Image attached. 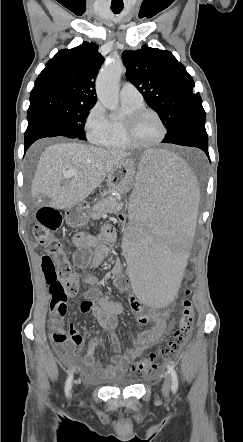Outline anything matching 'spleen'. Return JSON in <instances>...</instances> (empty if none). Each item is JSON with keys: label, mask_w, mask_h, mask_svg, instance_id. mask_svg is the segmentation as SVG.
Listing matches in <instances>:
<instances>
[{"label": "spleen", "mask_w": 243, "mask_h": 442, "mask_svg": "<svg viewBox=\"0 0 243 442\" xmlns=\"http://www.w3.org/2000/svg\"><path fill=\"white\" fill-rule=\"evenodd\" d=\"M130 185L129 217L123 239L127 280L145 307L173 302L191 256L197 219V179L184 162L162 147H145Z\"/></svg>", "instance_id": "obj_1"}]
</instances>
